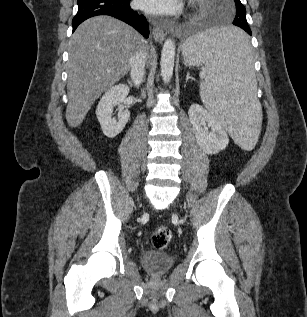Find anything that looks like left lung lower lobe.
<instances>
[{"mask_svg": "<svg viewBox=\"0 0 307 317\" xmlns=\"http://www.w3.org/2000/svg\"><path fill=\"white\" fill-rule=\"evenodd\" d=\"M236 26H238V25H236ZM238 27L245 30L249 35H252L249 26L242 25V26H238ZM224 41L230 49L236 50V51H240V50L244 49L249 43L246 35L227 37L224 39Z\"/></svg>", "mask_w": 307, "mask_h": 317, "instance_id": "left-lung-lower-lobe-1", "label": "left lung lower lobe"}]
</instances>
